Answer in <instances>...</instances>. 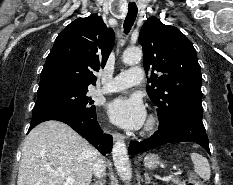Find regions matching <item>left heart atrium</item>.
<instances>
[{
	"label": "left heart atrium",
	"instance_id": "left-heart-atrium-1",
	"mask_svg": "<svg viewBox=\"0 0 233 185\" xmlns=\"http://www.w3.org/2000/svg\"><path fill=\"white\" fill-rule=\"evenodd\" d=\"M106 113L111 122L125 129H139L146 120L143 101L135 95L112 99L106 105Z\"/></svg>",
	"mask_w": 233,
	"mask_h": 185
}]
</instances>
